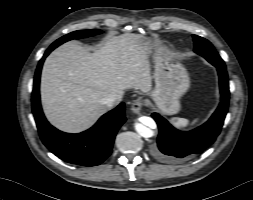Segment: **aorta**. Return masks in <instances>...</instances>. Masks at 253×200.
<instances>
[{"instance_id": "762f6f07", "label": "aorta", "mask_w": 253, "mask_h": 200, "mask_svg": "<svg viewBox=\"0 0 253 200\" xmlns=\"http://www.w3.org/2000/svg\"><path fill=\"white\" fill-rule=\"evenodd\" d=\"M150 124H155L154 121L151 118H147ZM136 131L144 138H149L153 136V131L151 128L145 126L144 124L141 123H136L135 125Z\"/></svg>"}]
</instances>
